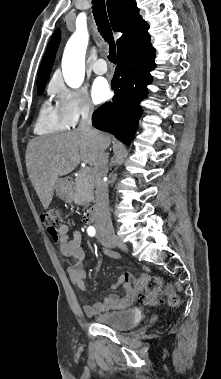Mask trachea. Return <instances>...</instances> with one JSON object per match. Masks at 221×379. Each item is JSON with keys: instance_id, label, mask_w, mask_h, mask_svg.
<instances>
[{"instance_id": "3493384b", "label": "trachea", "mask_w": 221, "mask_h": 379, "mask_svg": "<svg viewBox=\"0 0 221 379\" xmlns=\"http://www.w3.org/2000/svg\"><path fill=\"white\" fill-rule=\"evenodd\" d=\"M92 4L94 19L98 26V31L110 46L108 59L110 62L116 63V45L106 13L105 0H92Z\"/></svg>"}]
</instances>
